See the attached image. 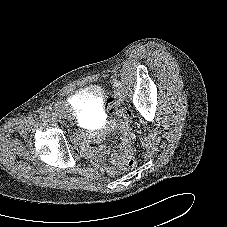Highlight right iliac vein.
<instances>
[{"label": "right iliac vein", "mask_w": 227, "mask_h": 227, "mask_svg": "<svg viewBox=\"0 0 227 227\" xmlns=\"http://www.w3.org/2000/svg\"><path fill=\"white\" fill-rule=\"evenodd\" d=\"M50 119L55 121V120H57V116H56L55 114H52V115L50 116Z\"/></svg>", "instance_id": "1"}]
</instances>
